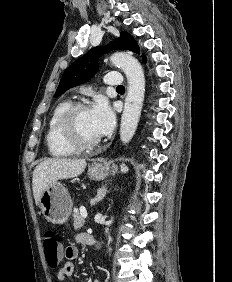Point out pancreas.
<instances>
[{
    "mask_svg": "<svg viewBox=\"0 0 232 282\" xmlns=\"http://www.w3.org/2000/svg\"><path fill=\"white\" fill-rule=\"evenodd\" d=\"M72 216H73V220H74V224H73L74 228L75 229L81 228L84 225V222H85L84 218L78 212H74L72 214Z\"/></svg>",
    "mask_w": 232,
    "mask_h": 282,
    "instance_id": "obj_1",
    "label": "pancreas"
}]
</instances>
